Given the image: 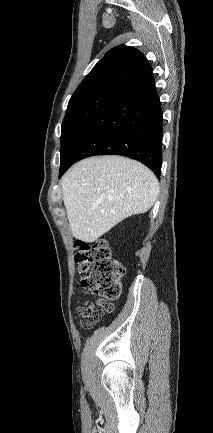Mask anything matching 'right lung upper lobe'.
<instances>
[{
	"mask_svg": "<svg viewBox=\"0 0 213 433\" xmlns=\"http://www.w3.org/2000/svg\"><path fill=\"white\" fill-rule=\"evenodd\" d=\"M151 71V65L139 50L116 46L94 66L69 102L104 92L122 93Z\"/></svg>",
	"mask_w": 213,
	"mask_h": 433,
	"instance_id": "obj_1",
	"label": "right lung upper lobe"
}]
</instances>
